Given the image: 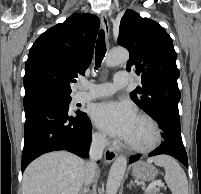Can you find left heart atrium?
Listing matches in <instances>:
<instances>
[{
    "label": "left heart atrium",
    "instance_id": "39dd6f15",
    "mask_svg": "<svg viewBox=\"0 0 201 194\" xmlns=\"http://www.w3.org/2000/svg\"><path fill=\"white\" fill-rule=\"evenodd\" d=\"M95 124L105 133L128 141L137 115L134 107L126 101H106L96 104L91 110Z\"/></svg>",
    "mask_w": 201,
    "mask_h": 194
}]
</instances>
